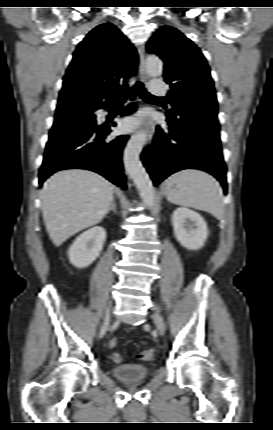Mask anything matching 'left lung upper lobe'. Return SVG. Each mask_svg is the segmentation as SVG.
I'll list each match as a JSON object with an SVG mask.
<instances>
[{
    "mask_svg": "<svg viewBox=\"0 0 273 430\" xmlns=\"http://www.w3.org/2000/svg\"><path fill=\"white\" fill-rule=\"evenodd\" d=\"M147 52L164 61V77L170 84L168 98L176 118H217L218 104L207 61L200 49L173 27L159 28L147 43Z\"/></svg>",
    "mask_w": 273,
    "mask_h": 430,
    "instance_id": "obj_1",
    "label": "left lung upper lobe"
}]
</instances>
